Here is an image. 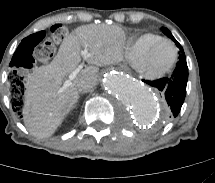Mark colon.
Returning <instances> with one entry per match:
<instances>
[{"mask_svg": "<svg viewBox=\"0 0 215 183\" xmlns=\"http://www.w3.org/2000/svg\"><path fill=\"white\" fill-rule=\"evenodd\" d=\"M67 36V28L61 23H56L44 29L32 38L28 37L16 47V58L10 61L12 71L9 77L11 92V111L17 120L24 118L21 111L25 89V78L21 74L31 68L35 62L45 63L52 59L55 54L53 43L63 40Z\"/></svg>", "mask_w": 215, "mask_h": 183, "instance_id": "1", "label": "colon"}]
</instances>
